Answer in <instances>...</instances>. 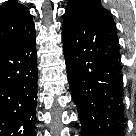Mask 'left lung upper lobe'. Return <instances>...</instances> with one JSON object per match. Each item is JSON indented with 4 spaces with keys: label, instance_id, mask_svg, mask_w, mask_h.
Returning a JSON list of instances; mask_svg holds the SVG:
<instances>
[{
    "label": "left lung upper lobe",
    "instance_id": "1",
    "mask_svg": "<svg viewBox=\"0 0 136 136\" xmlns=\"http://www.w3.org/2000/svg\"><path fill=\"white\" fill-rule=\"evenodd\" d=\"M64 20H106L113 22L110 12L96 0H69Z\"/></svg>",
    "mask_w": 136,
    "mask_h": 136
}]
</instances>
